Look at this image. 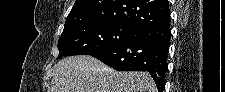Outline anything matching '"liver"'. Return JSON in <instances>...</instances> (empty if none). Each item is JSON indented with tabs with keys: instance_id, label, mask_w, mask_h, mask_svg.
Segmentation results:
<instances>
[{
	"instance_id": "obj_1",
	"label": "liver",
	"mask_w": 225,
	"mask_h": 92,
	"mask_svg": "<svg viewBox=\"0 0 225 92\" xmlns=\"http://www.w3.org/2000/svg\"><path fill=\"white\" fill-rule=\"evenodd\" d=\"M147 72H118L90 55L71 56L53 70L51 92H156Z\"/></svg>"
}]
</instances>
